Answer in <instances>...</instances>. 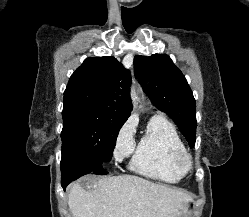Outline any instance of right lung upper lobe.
I'll list each match as a JSON object with an SVG mask.
<instances>
[{
    "label": "right lung upper lobe",
    "mask_w": 249,
    "mask_h": 217,
    "mask_svg": "<svg viewBox=\"0 0 249 217\" xmlns=\"http://www.w3.org/2000/svg\"><path fill=\"white\" fill-rule=\"evenodd\" d=\"M131 76L114 57H91L84 60L69 79L64 101H87L130 116Z\"/></svg>",
    "instance_id": "obj_1"
}]
</instances>
